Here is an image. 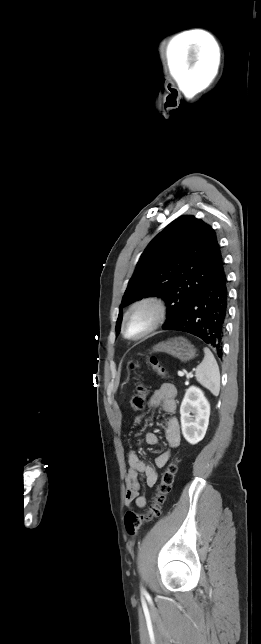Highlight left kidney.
I'll list each match as a JSON object with an SVG mask.
<instances>
[{"label":"left kidney","instance_id":"obj_1","mask_svg":"<svg viewBox=\"0 0 261 644\" xmlns=\"http://www.w3.org/2000/svg\"><path fill=\"white\" fill-rule=\"evenodd\" d=\"M180 414L184 438L192 445L197 444L206 434L210 416V404L201 389L191 386L186 390Z\"/></svg>","mask_w":261,"mask_h":644}]
</instances>
